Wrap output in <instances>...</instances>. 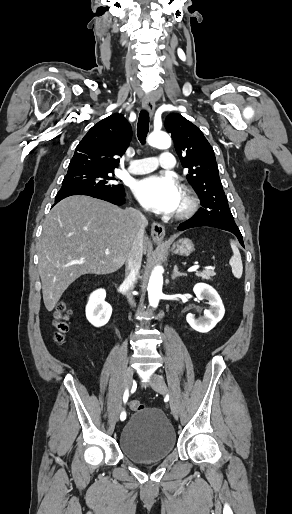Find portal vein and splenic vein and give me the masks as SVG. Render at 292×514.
I'll use <instances>...</instances> for the list:
<instances>
[{
    "label": "portal vein and splenic vein",
    "instance_id": "obj_1",
    "mask_svg": "<svg viewBox=\"0 0 292 514\" xmlns=\"http://www.w3.org/2000/svg\"><path fill=\"white\" fill-rule=\"evenodd\" d=\"M105 254H110L109 250H106ZM198 268L199 266H192V268H189L188 272H195Z\"/></svg>",
    "mask_w": 292,
    "mask_h": 514
}]
</instances>
